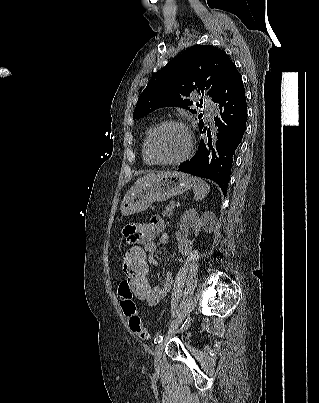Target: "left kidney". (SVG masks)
Masks as SVG:
<instances>
[{
  "instance_id": "5707ae66",
  "label": "left kidney",
  "mask_w": 319,
  "mask_h": 403,
  "mask_svg": "<svg viewBox=\"0 0 319 403\" xmlns=\"http://www.w3.org/2000/svg\"><path fill=\"white\" fill-rule=\"evenodd\" d=\"M207 215H208V213H205L203 215V217L199 218L197 211L195 209H190L182 215L180 222L182 224H190V226L193 227V229L195 231V235L197 236L201 227L204 225L205 217ZM176 239L178 241L179 251L183 255H188L190 250L192 249L193 241H189V242L185 241L181 237L180 232H176Z\"/></svg>"
}]
</instances>
